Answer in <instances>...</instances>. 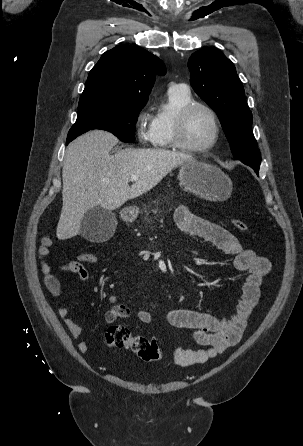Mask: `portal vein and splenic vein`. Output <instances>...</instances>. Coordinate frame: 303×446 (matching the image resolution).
<instances>
[{
	"label": "portal vein and splenic vein",
	"mask_w": 303,
	"mask_h": 446,
	"mask_svg": "<svg viewBox=\"0 0 303 446\" xmlns=\"http://www.w3.org/2000/svg\"><path fill=\"white\" fill-rule=\"evenodd\" d=\"M138 179H139L138 175H132L130 178L131 181H137Z\"/></svg>",
	"instance_id": "obj_1"
}]
</instances>
